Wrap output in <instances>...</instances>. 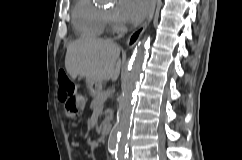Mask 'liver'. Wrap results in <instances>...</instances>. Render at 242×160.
Returning <instances> with one entry per match:
<instances>
[{"label":"liver","instance_id":"obj_1","mask_svg":"<svg viewBox=\"0 0 242 160\" xmlns=\"http://www.w3.org/2000/svg\"><path fill=\"white\" fill-rule=\"evenodd\" d=\"M120 47L108 40L80 38L69 44L65 56V67L75 79L78 75L86 80L116 81L122 62Z\"/></svg>","mask_w":242,"mask_h":160}]
</instances>
